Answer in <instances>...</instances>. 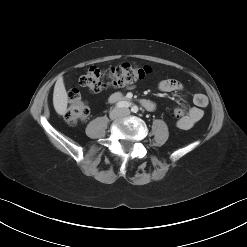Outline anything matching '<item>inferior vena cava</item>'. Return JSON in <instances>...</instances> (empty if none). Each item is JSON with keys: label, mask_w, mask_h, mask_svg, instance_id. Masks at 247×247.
Instances as JSON below:
<instances>
[{"label": "inferior vena cava", "mask_w": 247, "mask_h": 247, "mask_svg": "<svg viewBox=\"0 0 247 247\" xmlns=\"http://www.w3.org/2000/svg\"><path fill=\"white\" fill-rule=\"evenodd\" d=\"M130 112H129V110H126V114H129Z\"/></svg>", "instance_id": "inferior-vena-cava-1"}]
</instances>
